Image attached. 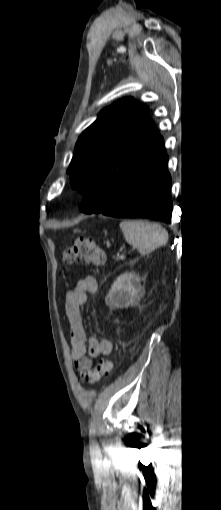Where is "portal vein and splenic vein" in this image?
Returning a JSON list of instances; mask_svg holds the SVG:
<instances>
[{"instance_id": "18ae733b", "label": "portal vein and splenic vein", "mask_w": 221, "mask_h": 510, "mask_svg": "<svg viewBox=\"0 0 221 510\" xmlns=\"http://www.w3.org/2000/svg\"><path fill=\"white\" fill-rule=\"evenodd\" d=\"M124 257H125L124 255H118L117 256L118 259H124Z\"/></svg>"}]
</instances>
